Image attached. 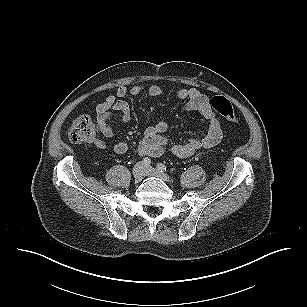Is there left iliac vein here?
Listing matches in <instances>:
<instances>
[{"instance_id": "4c4485c4", "label": "left iliac vein", "mask_w": 307, "mask_h": 307, "mask_svg": "<svg viewBox=\"0 0 307 307\" xmlns=\"http://www.w3.org/2000/svg\"><path fill=\"white\" fill-rule=\"evenodd\" d=\"M145 173H146L147 176H154V177L160 178L164 182H170L171 181V179L168 175L158 171L157 169H155L153 167H146Z\"/></svg>"}]
</instances>
